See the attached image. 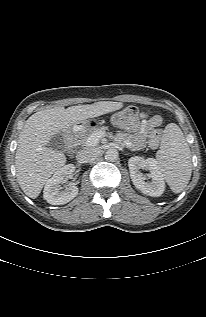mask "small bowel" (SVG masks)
Listing matches in <instances>:
<instances>
[{
  "mask_svg": "<svg viewBox=\"0 0 206 317\" xmlns=\"http://www.w3.org/2000/svg\"><path fill=\"white\" fill-rule=\"evenodd\" d=\"M162 124L163 119L161 116L148 117L142 114L141 121L135 132L131 135H122L120 138L133 148H142L146 143L151 148H156L160 142Z\"/></svg>",
  "mask_w": 206,
  "mask_h": 317,
  "instance_id": "small-bowel-1",
  "label": "small bowel"
}]
</instances>
